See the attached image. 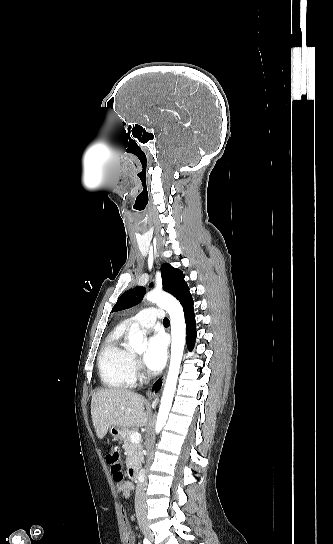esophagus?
<instances>
[{"mask_svg":"<svg viewBox=\"0 0 333 544\" xmlns=\"http://www.w3.org/2000/svg\"><path fill=\"white\" fill-rule=\"evenodd\" d=\"M167 371L151 385L148 393V401L153 402L161 393L166 380Z\"/></svg>","mask_w":333,"mask_h":544,"instance_id":"obj_1","label":"esophagus"}]
</instances>
